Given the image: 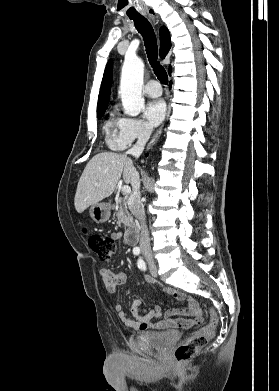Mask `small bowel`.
<instances>
[{
  "instance_id": "obj_1",
  "label": "small bowel",
  "mask_w": 279,
  "mask_h": 391,
  "mask_svg": "<svg viewBox=\"0 0 279 391\" xmlns=\"http://www.w3.org/2000/svg\"><path fill=\"white\" fill-rule=\"evenodd\" d=\"M121 237L120 233H113L111 238L117 240ZM100 276L103 282V285L109 295H113L116 291V287L123 285L126 281V276L121 272H112L107 268H102L100 270ZM146 281L153 285L160 291H163L171 295L174 299L185 302L188 305V308L185 310H169L165 314V319L159 322L153 323V319H158L162 316V309L160 306H155L153 309L143 313H139V307L142 304L140 299H136L132 303L131 314L132 317H129L122 308V305L119 302L114 303V309L118 314L119 319L128 327H132L138 330L146 329H167V328H183L190 329L194 326L200 325L204 321L202 309L196 300L183 292H180L176 289L166 288L159 281L152 278H146ZM186 316L188 318H183Z\"/></svg>"
}]
</instances>
